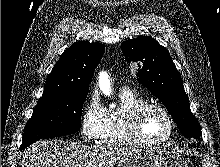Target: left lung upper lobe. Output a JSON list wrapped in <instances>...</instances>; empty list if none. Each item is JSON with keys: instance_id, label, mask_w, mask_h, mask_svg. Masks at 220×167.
<instances>
[{"instance_id": "left-lung-upper-lobe-1", "label": "left lung upper lobe", "mask_w": 220, "mask_h": 167, "mask_svg": "<svg viewBox=\"0 0 220 167\" xmlns=\"http://www.w3.org/2000/svg\"><path fill=\"white\" fill-rule=\"evenodd\" d=\"M121 48L128 63L142 62L137 73L139 82L164 104L181 133L199 139V123L190 110L180 73L168 50L149 36L124 41Z\"/></svg>"}]
</instances>
